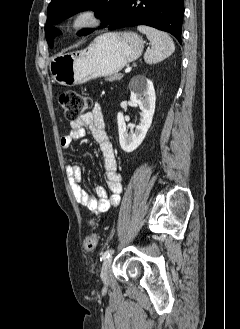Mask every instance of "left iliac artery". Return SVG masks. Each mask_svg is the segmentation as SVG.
Returning a JSON list of instances; mask_svg holds the SVG:
<instances>
[{
    "label": "left iliac artery",
    "instance_id": "obj_1",
    "mask_svg": "<svg viewBox=\"0 0 240 329\" xmlns=\"http://www.w3.org/2000/svg\"><path fill=\"white\" fill-rule=\"evenodd\" d=\"M112 252V249H108L107 251L104 252V254L102 255V259H106L109 258L110 253Z\"/></svg>",
    "mask_w": 240,
    "mask_h": 329
}]
</instances>
